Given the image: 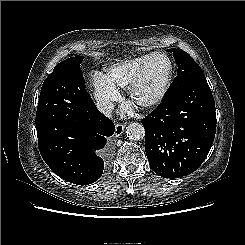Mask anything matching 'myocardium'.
<instances>
[{"instance_id": "myocardium-1", "label": "myocardium", "mask_w": 245, "mask_h": 245, "mask_svg": "<svg viewBox=\"0 0 245 245\" xmlns=\"http://www.w3.org/2000/svg\"><path fill=\"white\" fill-rule=\"evenodd\" d=\"M153 57H163L167 60L168 69H167L165 79L162 83L160 90L158 91V93L153 98L146 100V101H138L136 99V92L143 82L149 61ZM172 76H173V64H172L170 57L167 54H165L163 52H153V53L149 54L148 58L142 64L138 73L136 74L134 79L131 81V83L127 87V95H128L129 101L132 102L133 104L137 105L138 107L142 108V109H152V108L157 107L163 101L166 94L168 93V90H169L171 82H172Z\"/></svg>"}]
</instances>
